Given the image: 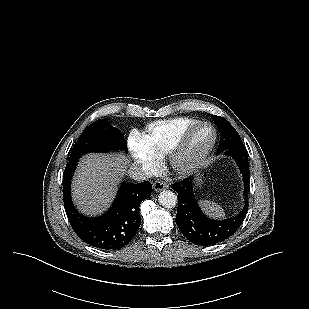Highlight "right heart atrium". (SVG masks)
I'll return each mask as SVG.
<instances>
[{
  "label": "right heart atrium",
  "mask_w": 309,
  "mask_h": 309,
  "mask_svg": "<svg viewBox=\"0 0 309 309\" xmlns=\"http://www.w3.org/2000/svg\"><path fill=\"white\" fill-rule=\"evenodd\" d=\"M130 151L134 162L138 165L146 176H151L158 169V159L147 151L134 137L130 141Z\"/></svg>",
  "instance_id": "d8ad5b80"
}]
</instances>
